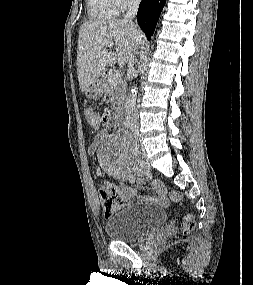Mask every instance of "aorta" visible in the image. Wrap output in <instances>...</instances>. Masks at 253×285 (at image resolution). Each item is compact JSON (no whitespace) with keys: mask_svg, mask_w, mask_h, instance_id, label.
<instances>
[{"mask_svg":"<svg viewBox=\"0 0 253 285\" xmlns=\"http://www.w3.org/2000/svg\"><path fill=\"white\" fill-rule=\"evenodd\" d=\"M137 93H138V88L137 86H134L131 88L128 94V97H127V101L125 105V112H126L127 119L129 121L132 120L134 116V112L136 110Z\"/></svg>","mask_w":253,"mask_h":285,"instance_id":"1","label":"aorta"}]
</instances>
